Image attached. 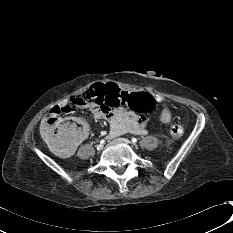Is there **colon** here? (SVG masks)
Wrapping results in <instances>:
<instances>
[{
  "mask_svg": "<svg viewBox=\"0 0 233 233\" xmlns=\"http://www.w3.org/2000/svg\"><path fill=\"white\" fill-rule=\"evenodd\" d=\"M83 98L94 105L103 104L114 108L124 106L142 114L151 113L156 106L155 98L150 93L127 90L124 85L112 80L95 82ZM73 109L71 105L57 106L44 118L41 125L44 139L62 157L71 155L75 144L88 134V125L84 119L75 118L67 122L62 120L61 115L72 112ZM171 115L169 108H163L158 113L162 121H169ZM168 130L173 138H180L184 134V128L180 124H171Z\"/></svg>",
  "mask_w": 233,
  "mask_h": 233,
  "instance_id": "5ec220e1",
  "label": "colon"
}]
</instances>
